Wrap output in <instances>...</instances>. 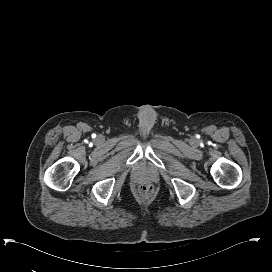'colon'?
I'll list each match as a JSON object with an SVG mask.
<instances>
[{
    "mask_svg": "<svg viewBox=\"0 0 272 272\" xmlns=\"http://www.w3.org/2000/svg\"><path fill=\"white\" fill-rule=\"evenodd\" d=\"M153 188L149 184H144L140 187V193L144 197H150L152 195Z\"/></svg>",
    "mask_w": 272,
    "mask_h": 272,
    "instance_id": "1",
    "label": "colon"
}]
</instances>
